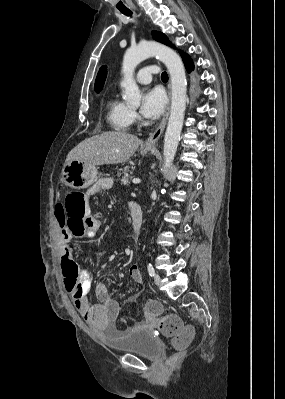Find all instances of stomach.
<instances>
[{"mask_svg":"<svg viewBox=\"0 0 285 399\" xmlns=\"http://www.w3.org/2000/svg\"><path fill=\"white\" fill-rule=\"evenodd\" d=\"M97 174L95 165L72 160L64 165L61 176L62 182L66 186L73 189H84L96 181Z\"/></svg>","mask_w":285,"mask_h":399,"instance_id":"1","label":"stomach"}]
</instances>
